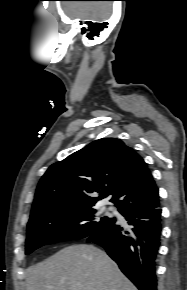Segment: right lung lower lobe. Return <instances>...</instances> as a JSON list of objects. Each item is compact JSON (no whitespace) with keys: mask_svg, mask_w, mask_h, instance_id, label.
I'll use <instances>...</instances> for the list:
<instances>
[{"mask_svg":"<svg viewBox=\"0 0 187 290\" xmlns=\"http://www.w3.org/2000/svg\"><path fill=\"white\" fill-rule=\"evenodd\" d=\"M121 214L131 228L125 230L113 223L89 236L87 242L102 246L139 290H157L156 259L162 231L160 204Z\"/></svg>","mask_w":187,"mask_h":290,"instance_id":"right-lung-lower-lobe-1","label":"right lung lower lobe"}]
</instances>
